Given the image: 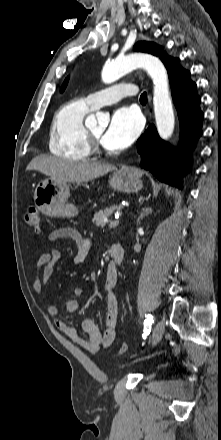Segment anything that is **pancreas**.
Returning a JSON list of instances; mask_svg holds the SVG:
<instances>
[{
    "label": "pancreas",
    "mask_w": 221,
    "mask_h": 440,
    "mask_svg": "<svg viewBox=\"0 0 221 440\" xmlns=\"http://www.w3.org/2000/svg\"><path fill=\"white\" fill-rule=\"evenodd\" d=\"M121 207L110 206L94 214L92 222L96 224L97 227H104L106 224L105 218L109 217L114 211H120Z\"/></svg>",
    "instance_id": "cf45deb5"
}]
</instances>
